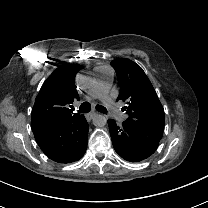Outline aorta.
<instances>
[{
	"instance_id": "1",
	"label": "aorta",
	"mask_w": 208,
	"mask_h": 208,
	"mask_svg": "<svg viewBox=\"0 0 208 208\" xmlns=\"http://www.w3.org/2000/svg\"><path fill=\"white\" fill-rule=\"evenodd\" d=\"M92 122H93V125L96 126V127H103V126L106 125L107 119L102 114H95L93 116Z\"/></svg>"
}]
</instances>
